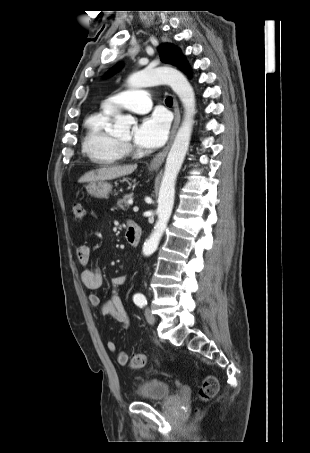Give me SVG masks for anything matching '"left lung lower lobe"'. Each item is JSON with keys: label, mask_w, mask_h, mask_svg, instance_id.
Returning <instances> with one entry per match:
<instances>
[{"label": "left lung lower lobe", "mask_w": 310, "mask_h": 453, "mask_svg": "<svg viewBox=\"0 0 310 453\" xmlns=\"http://www.w3.org/2000/svg\"><path fill=\"white\" fill-rule=\"evenodd\" d=\"M180 69L189 75V68H188V64L186 63V61L183 63V65L180 67Z\"/></svg>", "instance_id": "obj_1"}]
</instances>
